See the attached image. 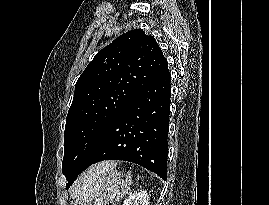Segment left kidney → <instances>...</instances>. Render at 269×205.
Wrapping results in <instances>:
<instances>
[{"label":"left kidney","mask_w":269,"mask_h":205,"mask_svg":"<svg viewBox=\"0 0 269 205\" xmlns=\"http://www.w3.org/2000/svg\"><path fill=\"white\" fill-rule=\"evenodd\" d=\"M149 194L147 191L135 192L127 199H125L123 205H149Z\"/></svg>","instance_id":"5707ae66"}]
</instances>
